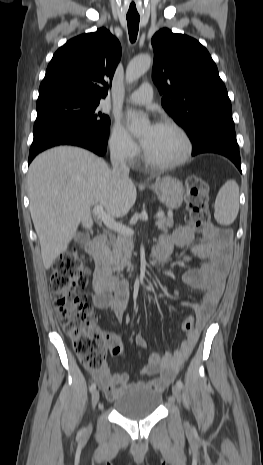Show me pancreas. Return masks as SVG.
Instances as JSON below:
<instances>
[{
    "mask_svg": "<svg viewBox=\"0 0 263 465\" xmlns=\"http://www.w3.org/2000/svg\"><path fill=\"white\" fill-rule=\"evenodd\" d=\"M173 225L174 221L172 217L163 216L156 222L158 229L163 232H167ZM133 247L132 238L126 234H120L117 237L113 236L110 239L106 254L114 271L120 272L125 267H127L128 270H133L131 264Z\"/></svg>",
    "mask_w": 263,
    "mask_h": 465,
    "instance_id": "pancreas-1",
    "label": "pancreas"
}]
</instances>
